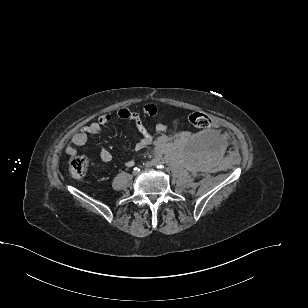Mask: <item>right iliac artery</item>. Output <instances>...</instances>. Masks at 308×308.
I'll use <instances>...</instances> for the list:
<instances>
[{"mask_svg": "<svg viewBox=\"0 0 308 308\" xmlns=\"http://www.w3.org/2000/svg\"><path fill=\"white\" fill-rule=\"evenodd\" d=\"M134 171H140V169H138V168H134Z\"/></svg>", "mask_w": 308, "mask_h": 308, "instance_id": "obj_1", "label": "right iliac artery"}]
</instances>
